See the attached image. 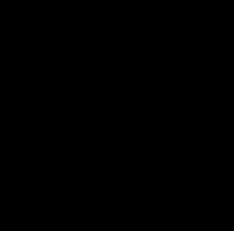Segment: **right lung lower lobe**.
Wrapping results in <instances>:
<instances>
[{"label":"right lung lower lobe","instance_id":"98d812e1","mask_svg":"<svg viewBox=\"0 0 234 231\" xmlns=\"http://www.w3.org/2000/svg\"><path fill=\"white\" fill-rule=\"evenodd\" d=\"M54 84L38 79L30 95L35 152L63 191L86 201L103 199L115 188L124 151L117 117L121 106L113 105L102 89L79 101L70 88ZM95 97L113 105L112 117H97L90 108Z\"/></svg>","mask_w":234,"mask_h":231}]
</instances>
